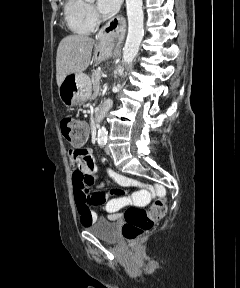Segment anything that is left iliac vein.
<instances>
[{"mask_svg": "<svg viewBox=\"0 0 240 288\" xmlns=\"http://www.w3.org/2000/svg\"><path fill=\"white\" fill-rule=\"evenodd\" d=\"M105 152H106L107 155H110L111 151H110L109 146L105 147Z\"/></svg>", "mask_w": 240, "mask_h": 288, "instance_id": "obj_1", "label": "left iliac vein"}]
</instances>
